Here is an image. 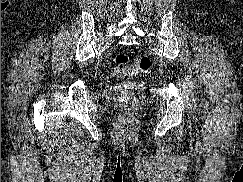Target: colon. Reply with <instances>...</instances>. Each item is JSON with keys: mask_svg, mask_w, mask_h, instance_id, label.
I'll return each instance as SVG.
<instances>
[{"mask_svg": "<svg viewBox=\"0 0 243 182\" xmlns=\"http://www.w3.org/2000/svg\"><path fill=\"white\" fill-rule=\"evenodd\" d=\"M152 61L148 56H142L134 61L125 53H120L115 57L113 75L120 78L131 77L135 73L147 72L151 69ZM121 110L125 117L133 115L139 97L132 91L124 90L120 93Z\"/></svg>", "mask_w": 243, "mask_h": 182, "instance_id": "colon-1", "label": "colon"}]
</instances>
